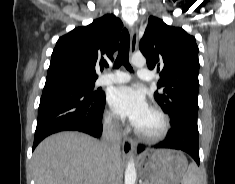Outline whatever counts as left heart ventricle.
I'll return each instance as SVG.
<instances>
[{"instance_id":"left-heart-ventricle-1","label":"left heart ventricle","mask_w":235,"mask_h":184,"mask_svg":"<svg viewBox=\"0 0 235 184\" xmlns=\"http://www.w3.org/2000/svg\"><path fill=\"white\" fill-rule=\"evenodd\" d=\"M161 127V120L151 109L143 117L137 129L143 134L156 133Z\"/></svg>"}]
</instances>
